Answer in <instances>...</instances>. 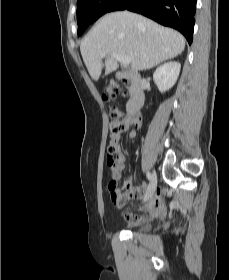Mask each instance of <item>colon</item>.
Masks as SVG:
<instances>
[{"mask_svg": "<svg viewBox=\"0 0 229 280\" xmlns=\"http://www.w3.org/2000/svg\"><path fill=\"white\" fill-rule=\"evenodd\" d=\"M131 81L129 79H124L120 83H112L107 87L104 94V98L113 101L120 94L124 86H129ZM131 126L130 121L125 120L121 117V113L118 109H114L111 112V119L109 124V144L107 147V166L109 168V173L112 177V171L115 166V155L120 150V135L126 132ZM116 181H113L112 187H116Z\"/></svg>", "mask_w": 229, "mask_h": 280, "instance_id": "5ec220e1", "label": "colon"}]
</instances>
